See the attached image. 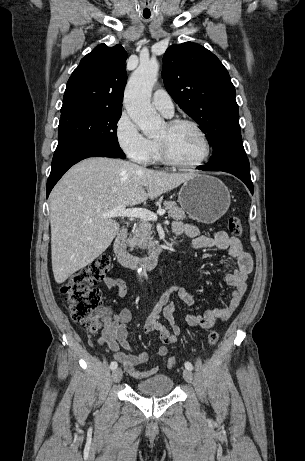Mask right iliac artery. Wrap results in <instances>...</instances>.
Instances as JSON below:
<instances>
[{"instance_id":"82829eb1","label":"right iliac artery","mask_w":305,"mask_h":461,"mask_svg":"<svg viewBox=\"0 0 305 461\" xmlns=\"http://www.w3.org/2000/svg\"><path fill=\"white\" fill-rule=\"evenodd\" d=\"M117 366H118V364H117V362H116V361H112V362H111V364H110V368H111V370H114V369H116V368H117Z\"/></svg>"}]
</instances>
